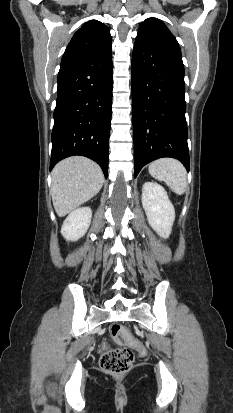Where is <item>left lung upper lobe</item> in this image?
Masks as SVG:
<instances>
[{
    "label": "left lung upper lobe",
    "mask_w": 233,
    "mask_h": 413,
    "mask_svg": "<svg viewBox=\"0 0 233 413\" xmlns=\"http://www.w3.org/2000/svg\"><path fill=\"white\" fill-rule=\"evenodd\" d=\"M157 42L168 45L178 51L180 47L174 35L168 30L166 25L157 18H148L143 22L135 40V43Z\"/></svg>",
    "instance_id": "obj_1"
}]
</instances>
